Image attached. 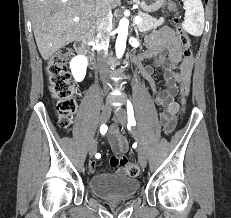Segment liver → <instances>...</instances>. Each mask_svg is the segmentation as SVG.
I'll list each match as a JSON object with an SVG mask.
<instances>
[{"label":"liver","mask_w":231,"mask_h":218,"mask_svg":"<svg viewBox=\"0 0 231 218\" xmlns=\"http://www.w3.org/2000/svg\"><path fill=\"white\" fill-rule=\"evenodd\" d=\"M38 50L44 60L95 29L96 0H29ZM120 0H109L115 8ZM78 17L79 21L73 19Z\"/></svg>","instance_id":"1"}]
</instances>
